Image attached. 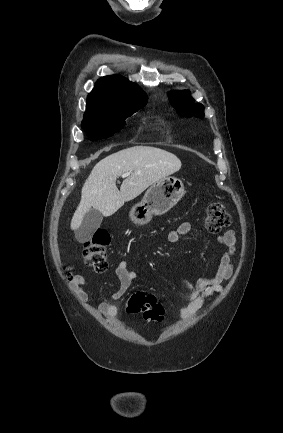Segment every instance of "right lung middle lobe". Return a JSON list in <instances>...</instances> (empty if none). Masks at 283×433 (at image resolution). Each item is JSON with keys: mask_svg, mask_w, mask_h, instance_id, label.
<instances>
[{"mask_svg": "<svg viewBox=\"0 0 283 433\" xmlns=\"http://www.w3.org/2000/svg\"><path fill=\"white\" fill-rule=\"evenodd\" d=\"M139 108H124L84 114L82 128L92 140L110 137L125 124V119Z\"/></svg>", "mask_w": 283, "mask_h": 433, "instance_id": "1", "label": "right lung middle lobe"}]
</instances>
